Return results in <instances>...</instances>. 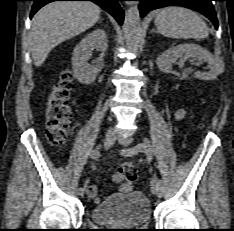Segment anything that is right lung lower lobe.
Segmentation results:
<instances>
[{
    "instance_id": "98d812e1",
    "label": "right lung lower lobe",
    "mask_w": 234,
    "mask_h": 231,
    "mask_svg": "<svg viewBox=\"0 0 234 231\" xmlns=\"http://www.w3.org/2000/svg\"><path fill=\"white\" fill-rule=\"evenodd\" d=\"M30 18L44 5L52 1H92L110 13L121 25L124 19V11L120 8L118 1L121 0H33Z\"/></svg>"
}]
</instances>
